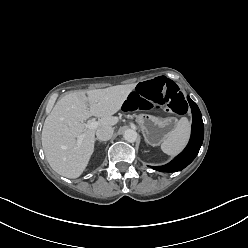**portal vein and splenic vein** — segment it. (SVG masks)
Returning a JSON list of instances; mask_svg holds the SVG:
<instances>
[{
    "label": "portal vein and splenic vein",
    "instance_id": "1",
    "mask_svg": "<svg viewBox=\"0 0 248 248\" xmlns=\"http://www.w3.org/2000/svg\"><path fill=\"white\" fill-rule=\"evenodd\" d=\"M98 125H99L98 121H89L86 123V128L87 129H96L98 127ZM83 138H84V135L79 136L78 141H77L78 144H81Z\"/></svg>",
    "mask_w": 248,
    "mask_h": 248
}]
</instances>
